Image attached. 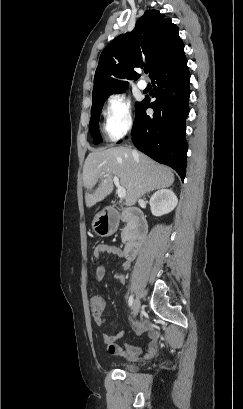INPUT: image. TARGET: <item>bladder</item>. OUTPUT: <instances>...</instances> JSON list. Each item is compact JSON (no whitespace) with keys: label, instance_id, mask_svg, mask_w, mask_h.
I'll use <instances>...</instances> for the list:
<instances>
[{"label":"bladder","instance_id":"1","mask_svg":"<svg viewBox=\"0 0 243 409\" xmlns=\"http://www.w3.org/2000/svg\"><path fill=\"white\" fill-rule=\"evenodd\" d=\"M119 366L126 372H135L137 369L135 364L128 362L120 363Z\"/></svg>","mask_w":243,"mask_h":409}]
</instances>
